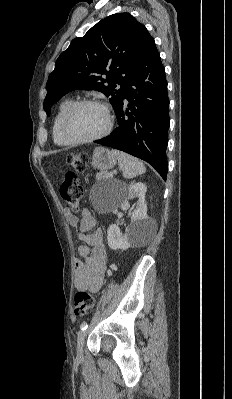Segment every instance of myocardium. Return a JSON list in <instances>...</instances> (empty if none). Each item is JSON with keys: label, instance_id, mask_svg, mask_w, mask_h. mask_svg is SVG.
Instances as JSON below:
<instances>
[{"label": "myocardium", "instance_id": "myocardium-1", "mask_svg": "<svg viewBox=\"0 0 232 399\" xmlns=\"http://www.w3.org/2000/svg\"><path fill=\"white\" fill-rule=\"evenodd\" d=\"M83 105H99V106H102L106 110L107 115H108V125L105 128V130L103 132H101L100 134L93 136V137H89V138H77L70 132L69 119H70L71 115L73 114V112L78 107L83 106ZM114 123H115V118H114L113 110L110 107V105H108L107 103H105L103 101L96 100V99H83V100L74 102L66 110V112L63 116V119H62V131H63L64 135L66 136V138L74 144L93 143V142H97V141H100V140L106 138L112 132V130L114 128Z\"/></svg>", "mask_w": 232, "mask_h": 399}]
</instances>
